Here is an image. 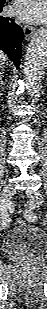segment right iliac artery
<instances>
[{"mask_svg": "<svg viewBox=\"0 0 47 309\" xmlns=\"http://www.w3.org/2000/svg\"><path fill=\"white\" fill-rule=\"evenodd\" d=\"M0 213H1V218H2V223L3 225L6 224L7 221L9 220V215L7 213V209L4 205H0Z\"/></svg>", "mask_w": 47, "mask_h": 309, "instance_id": "obj_1", "label": "right iliac artery"}]
</instances>
